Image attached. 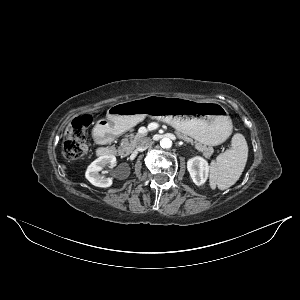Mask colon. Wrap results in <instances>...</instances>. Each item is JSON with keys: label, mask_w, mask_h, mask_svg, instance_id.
<instances>
[{"label": "colon", "mask_w": 300, "mask_h": 300, "mask_svg": "<svg viewBox=\"0 0 300 300\" xmlns=\"http://www.w3.org/2000/svg\"><path fill=\"white\" fill-rule=\"evenodd\" d=\"M90 124L91 118L88 115H84L73 122L64 145L65 156L68 160L77 161L86 153V134Z\"/></svg>", "instance_id": "obj_1"}]
</instances>
